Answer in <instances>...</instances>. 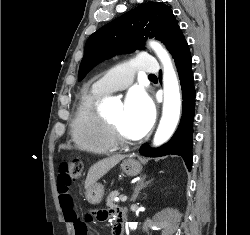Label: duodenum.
I'll list each match as a JSON object with an SVG mask.
<instances>
[{
    "label": "duodenum",
    "instance_id": "duodenum-1",
    "mask_svg": "<svg viewBox=\"0 0 250 235\" xmlns=\"http://www.w3.org/2000/svg\"><path fill=\"white\" fill-rule=\"evenodd\" d=\"M126 220H127L126 214L123 211H120L117 214L116 220H115L116 227H115L114 233L116 235H122V233H123V226H124Z\"/></svg>",
    "mask_w": 250,
    "mask_h": 235
}]
</instances>
